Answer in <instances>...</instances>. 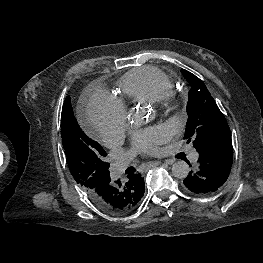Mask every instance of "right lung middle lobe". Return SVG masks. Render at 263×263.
<instances>
[{
	"label": "right lung middle lobe",
	"mask_w": 263,
	"mask_h": 263,
	"mask_svg": "<svg viewBox=\"0 0 263 263\" xmlns=\"http://www.w3.org/2000/svg\"><path fill=\"white\" fill-rule=\"evenodd\" d=\"M61 137L66 161L76 182L86 192L105 184L110 177L107 154L79 127L69 96L61 113Z\"/></svg>",
	"instance_id": "dd1d6c3e"
}]
</instances>
